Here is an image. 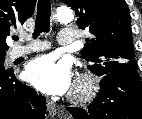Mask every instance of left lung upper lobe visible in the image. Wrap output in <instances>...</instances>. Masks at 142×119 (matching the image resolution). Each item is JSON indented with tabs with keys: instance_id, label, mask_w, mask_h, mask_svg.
<instances>
[{
	"instance_id": "left-lung-upper-lobe-1",
	"label": "left lung upper lobe",
	"mask_w": 142,
	"mask_h": 119,
	"mask_svg": "<svg viewBox=\"0 0 142 119\" xmlns=\"http://www.w3.org/2000/svg\"><path fill=\"white\" fill-rule=\"evenodd\" d=\"M76 13L79 28H89L81 51L97 76L138 68L132 42L129 8L125 0H63Z\"/></svg>"
}]
</instances>
